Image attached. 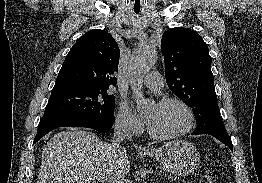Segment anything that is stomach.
<instances>
[{"instance_id": "obj_1", "label": "stomach", "mask_w": 262, "mask_h": 183, "mask_svg": "<svg viewBox=\"0 0 262 183\" xmlns=\"http://www.w3.org/2000/svg\"><path fill=\"white\" fill-rule=\"evenodd\" d=\"M146 153L177 176L192 174L200 164L199 152L195 146L184 140L167 142L160 148Z\"/></svg>"}]
</instances>
